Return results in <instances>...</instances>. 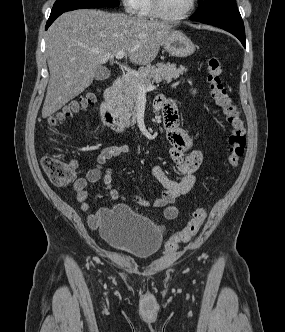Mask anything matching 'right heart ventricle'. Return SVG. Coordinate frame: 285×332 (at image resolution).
Returning <instances> with one entry per match:
<instances>
[{
	"label": "right heart ventricle",
	"instance_id": "1",
	"mask_svg": "<svg viewBox=\"0 0 285 332\" xmlns=\"http://www.w3.org/2000/svg\"><path fill=\"white\" fill-rule=\"evenodd\" d=\"M137 15L141 19H153L155 14L153 12L152 0H139Z\"/></svg>",
	"mask_w": 285,
	"mask_h": 332
}]
</instances>
